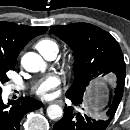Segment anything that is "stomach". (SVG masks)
<instances>
[{
	"label": "stomach",
	"mask_w": 130,
	"mask_h": 130,
	"mask_svg": "<svg viewBox=\"0 0 130 130\" xmlns=\"http://www.w3.org/2000/svg\"><path fill=\"white\" fill-rule=\"evenodd\" d=\"M105 97L100 88L93 90L88 97L86 111L91 114L99 111L105 104Z\"/></svg>",
	"instance_id": "0dacf381"
}]
</instances>
